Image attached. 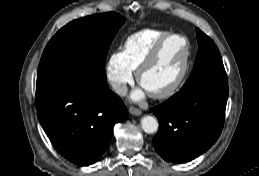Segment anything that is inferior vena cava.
Here are the masks:
<instances>
[{"instance_id":"obj_1","label":"inferior vena cava","mask_w":259,"mask_h":176,"mask_svg":"<svg viewBox=\"0 0 259 176\" xmlns=\"http://www.w3.org/2000/svg\"><path fill=\"white\" fill-rule=\"evenodd\" d=\"M111 85L117 94L126 95L127 90H128L126 84H123V83L117 82V81H113L111 83Z\"/></svg>"}]
</instances>
